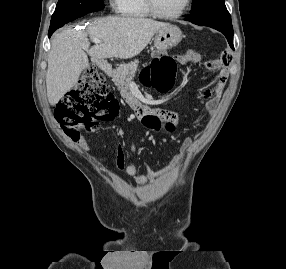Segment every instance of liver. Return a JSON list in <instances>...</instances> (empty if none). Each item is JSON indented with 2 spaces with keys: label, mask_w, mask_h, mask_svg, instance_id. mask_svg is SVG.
Returning a JSON list of instances; mask_svg holds the SVG:
<instances>
[{
  "label": "liver",
  "mask_w": 286,
  "mask_h": 269,
  "mask_svg": "<svg viewBox=\"0 0 286 269\" xmlns=\"http://www.w3.org/2000/svg\"><path fill=\"white\" fill-rule=\"evenodd\" d=\"M167 25L146 18L105 17L90 23L85 30L57 33L48 55L46 87L49 103L56 105L77 84L81 72L89 67L87 54L95 62L112 57H135L153 35ZM88 37L100 39L102 43L90 47Z\"/></svg>",
  "instance_id": "1"
}]
</instances>
